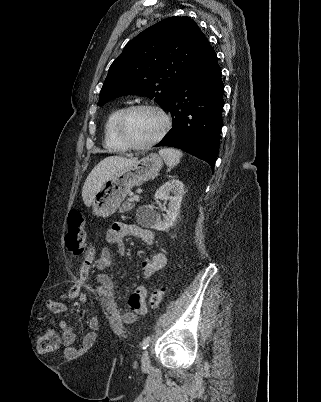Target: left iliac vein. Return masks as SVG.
I'll return each instance as SVG.
<instances>
[{
	"mask_svg": "<svg viewBox=\"0 0 321 402\" xmlns=\"http://www.w3.org/2000/svg\"><path fill=\"white\" fill-rule=\"evenodd\" d=\"M141 363H142V366H143L144 368H148V367L150 366V358H149V354H148V351H147V350H145V351L142 353Z\"/></svg>",
	"mask_w": 321,
	"mask_h": 402,
	"instance_id": "obj_1",
	"label": "left iliac vein"
}]
</instances>
